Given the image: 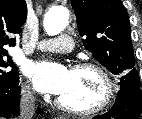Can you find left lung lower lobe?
<instances>
[{
    "label": "left lung lower lobe",
    "mask_w": 142,
    "mask_h": 119,
    "mask_svg": "<svg viewBox=\"0 0 142 119\" xmlns=\"http://www.w3.org/2000/svg\"><path fill=\"white\" fill-rule=\"evenodd\" d=\"M142 111V93L140 86L129 85L121 88L116 102L108 113L94 117V119H137Z\"/></svg>",
    "instance_id": "left-lung-lower-lobe-1"
}]
</instances>
